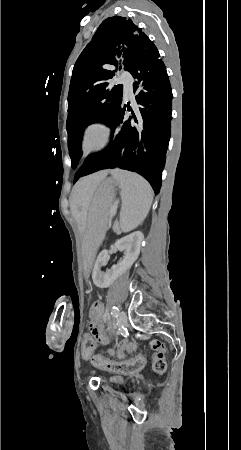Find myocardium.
I'll return each mask as SVG.
<instances>
[{"label": "myocardium", "mask_w": 241, "mask_h": 450, "mask_svg": "<svg viewBox=\"0 0 241 450\" xmlns=\"http://www.w3.org/2000/svg\"><path fill=\"white\" fill-rule=\"evenodd\" d=\"M80 127H99L100 123L99 122H80L79 123ZM85 137H81L80 141L81 142H85V148H80L79 149V156L80 157H89V158H94L97 156L96 152H92V149H98L101 150L103 149V144H101L100 142H105L106 138L108 136V133L106 130H101V129H97V130H85L84 134ZM91 137H93V139L91 140ZM96 151V150H94ZM78 160V159H77ZM82 160V159H80Z\"/></svg>", "instance_id": "1"}]
</instances>
